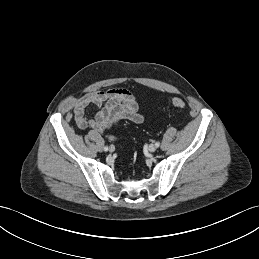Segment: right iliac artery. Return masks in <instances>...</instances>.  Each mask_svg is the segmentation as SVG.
Returning a JSON list of instances; mask_svg holds the SVG:
<instances>
[{
    "label": "right iliac artery",
    "mask_w": 259,
    "mask_h": 259,
    "mask_svg": "<svg viewBox=\"0 0 259 259\" xmlns=\"http://www.w3.org/2000/svg\"><path fill=\"white\" fill-rule=\"evenodd\" d=\"M104 151H108V147L107 146L104 147Z\"/></svg>",
    "instance_id": "obj_1"
}]
</instances>
